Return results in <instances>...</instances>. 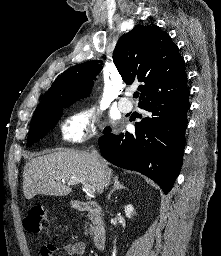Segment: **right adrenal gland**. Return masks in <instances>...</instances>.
I'll return each instance as SVG.
<instances>
[{"instance_id":"1","label":"right adrenal gland","mask_w":221,"mask_h":256,"mask_svg":"<svg viewBox=\"0 0 221 256\" xmlns=\"http://www.w3.org/2000/svg\"><path fill=\"white\" fill-rule=\"evenodd\" d=\"M113 182H114V186L113 189L110 191V193L108 194V200H110L112 193L117 190V189H125V186L121 185L119 180H118V176H115L113 178Z\"/></svg>"}]
</instances>
